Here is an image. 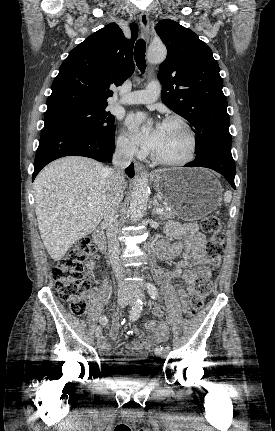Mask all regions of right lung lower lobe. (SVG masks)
Returning <instances> with one entry per match:
<instances>
[{"instance_id": "right-lung-lower-lobe-1", "label": "right lung lower lobe", "mask_w": 275, "mask_h": 431, "mask_svg": "<svg viewBox=\"0 0 275 431\" xmlns=\"http://www.w3.org/2000/svg\"><path fill=\"white\" fill-rule=\"evenodd\" d=\"M115 150L114 135L82 130L69 126H52L42 129L37 149L32 181L51 161L64 156H85L97 161H111ZM126 173L134 176V165Z\"/></svg>"}]
</instances>
